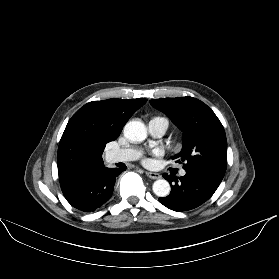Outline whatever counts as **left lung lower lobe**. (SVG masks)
I'll use <instances>...</instances> for the list:
<instances>
[{"label":"left lung lower lobe","mask_w":279,"mask_h":279,"mask_svg":"<svg viewBox=\"0 0 279 279\" xmlns=\"http://www.w3.org/2000/svg\"><path fill=\"white\" fill-rule=\"evenodd\" d=\"M185 171L186 174L179 179L173 175L163 174L171 184V192L167 197L159 198V201L177 212L200 206L214 194L220 184L202 172Z\"/></svg>","instance_id":"0a47b994"}]
</instances>
